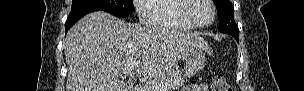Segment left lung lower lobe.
I'll return each instance as SVG.
<instances>
[{
  "mask_svg": "<svg viewBox=\"0 0 304 91\" xmlns=\"http://www.w3.org/2000/svg\"><path fill=\"white\" fill-rule=\"evenodd\" d=\"M226 34L231 35V36L234 37V38L236 39V41L238 42L239 33H231V32H229V33H226Z\"/></svg>",
  "mask_w": 304,
  "mask_h": 91,
  "instance_id": "1",
  "label": "left lung lower lobe"
}]
</instances>
